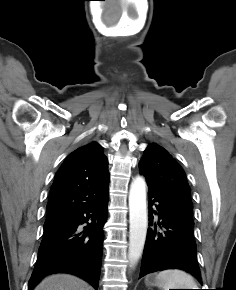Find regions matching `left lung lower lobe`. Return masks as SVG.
<instances>
[{
    "mask_svg": "<svg viewBox=\"0 0 236 290\" xmlns=\"http://www.w3.org/2000/svg\"><path fill=\"white\" fill-rule=\"evenodd\" d=\"M148 197L149 225L152 228L147 231L139 278L164 269H182L202 283L192 213L160 191L149 189ZM153 214L158 215V222H154Z\"/></svg>",
    "mask_w": 236,
    "mask_h": 290,
    "instance_id": "obj_1",
    "label": "left lung lower lobe"
}]
</instances>
